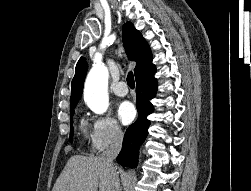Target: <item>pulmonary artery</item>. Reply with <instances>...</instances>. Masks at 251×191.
I'll return each instance as SVG.
<instances>
[{
    "label": "pulmonary artery",
    "instance_id": "obj_1",
    "mask_svg": "<svg viewBox=\"0 0 251 191\" xmlns=\"http://www.w3.org/2000/svg\"><path fill=\"white\" fill-rule=\"evenodd\" d=\"M113 91L117 96H125L128 94V86L125 82H119L114 86Z\"/></svg>",
    "mask_w": 251,
    "mask_h": 191
}]
</instances>
